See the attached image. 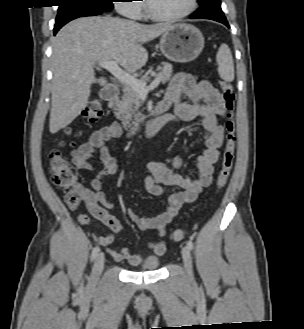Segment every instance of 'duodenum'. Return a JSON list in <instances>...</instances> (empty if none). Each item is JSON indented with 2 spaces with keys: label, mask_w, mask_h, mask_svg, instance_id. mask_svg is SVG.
I'll use <instances>...</instances> for the list:
<instances>
[{
  "label": "duodenum",
  "mask_w": 304,
  "mask_h": 329,
  "mask_svg": "<svg viewBox=\"0 0 304 329\" xmlns=\"http://www.w3.org/2000/svg\"><path fill=\"white\" fill-rule=\"evenodd\" d=\"M117 94L118 88L114 84H107L100 93L101 98L106 101L114 100ZM169 121L170 118L165 114V106L160 103L150 117L131 121L128 125L129 134L134 135L143 131L147 136H152Z\"/></svg>",
  "instance_id": "1"
}]
</instances>
